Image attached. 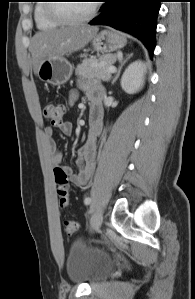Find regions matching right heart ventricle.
Returning <instances> with one entry per match:
<instances>
[{
  "label": "right heart ventricle",
  "instance_id": "e07e8e85",
  "mask_svg": "<svg viewBox=\"0 0 195 299\" xmlns=\"http://www.w3.org/2000/svg\"><path fill=\"white\" fill-rule=\"evenodd\" d=\"M48 0H38L33 11V18L38 29H54L61 24L52 20L47 13Z\"/></svg>",
  "mask_w": 195,
  "mask_h": 299
}]
</instances>
